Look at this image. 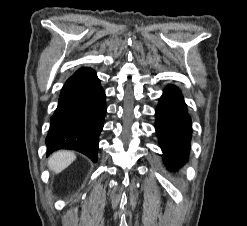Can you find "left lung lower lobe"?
Listing matches in <instances>:
<instances>
[{
	"mask_svg": "<svg viewBox=\"0 0 247 226\" xmlns=\"http://www.w3.org/2000/svg\"><path fill=\"white\" fill-rule=\"evenodd\" d=\"M156 109V131L166 164L182 166L189 154L191 118L179 89L167 86Z\"/></svg>",
	"mask_w": 247,
	"mask_h": 226,
	"instance_id": "0a47b994",
	"label": "left lung lower lobe"
}]
</instances>
